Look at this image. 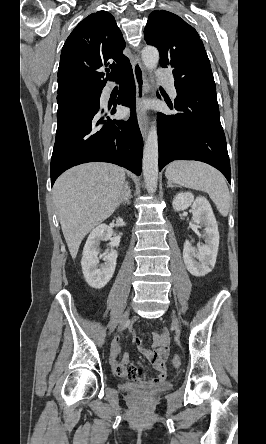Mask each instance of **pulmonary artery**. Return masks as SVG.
I'll return each instance as SVG.
<instances>
[{
	"label": "pulmonary artery",
	"instance_id": "1",
	"mask_svg": "<svg viewBox=\"0 0 266 444\" xmlns=\"http://www.w3.org/2000/svg\"><path fill=\"white\" fill-rule=\"evenodd\" d=\"M159 80H161L166 86L171 97L175 98L177 93L174 85V78L169 74H166L162 69H159L156 73Z\"/></svg>",
	"mask_w": 266,
	"mask_h": 444
}]
</instances>
